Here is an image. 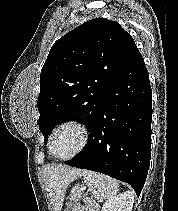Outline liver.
Segmentation results:
<instances>
[{
  "label": "liver",
  "mask_w": 178,
  "mask_h": 211,
  "mask_svg": "<svg viewBox=\"0 0 178 211\" xmlns=\"http://www.w3.org/2000/svg\"><path fill=\"white\" fill-rule=\"evenodd\" d=\"M84 173V170L61 165H50L44 169L43 178L54 211H61L68 185Z\"/></svg>",
  "instance_id": "obj_1"
}]
</instances>
